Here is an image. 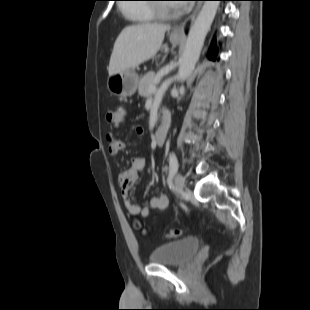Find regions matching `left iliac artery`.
Returning a JSON list of instances; mask_svg holds the SVG:
<instances>
[{"label":"left iliac artery","instance_id":"obj_1","mask_svg":"<svg viewBox=\"0 0 310 310\" xmlns=\"http://www.w3.org/2000/svg\"><path fill=\"white\" fill-rule=\"evenodd\" d=\"M169 170L171 175H174L178 170V160L174 153H171L169 156ZM180 206L185 211H188V208L184 203H180Z\"/></svg>","mask_w":310,"mask_h":310}]
</instances>
